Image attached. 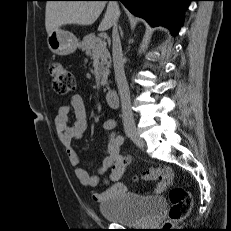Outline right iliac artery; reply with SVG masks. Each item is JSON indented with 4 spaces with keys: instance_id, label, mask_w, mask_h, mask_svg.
Segmentation results:
<instances>
[{
    "instance_id": "82829eb1",
    "label": "right iliac artery",
    "mask_w": 231,
    "mask_h": 231,
    "mask_svg": "<svg viewBox=\"0 0 231 231\" xmlns=\"http://www.w3.org/2000/svg\"><path fill=\"white\" fill-rule=\"evenodd\" d=\"M117 140H118V142H119L120 144H123V142H124V137L121 136V135H119V136L117 137Z\"/></svg>"
}]
</instances>
